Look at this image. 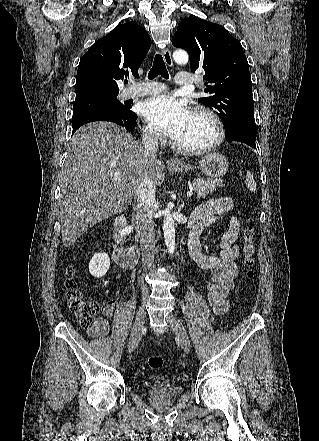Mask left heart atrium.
Returning <instances> with one entry per match:
<instances>
[{
  "label": "left heart atrium",
  "mask_w": 319,
  "mask_h": 441,
  "mask_svg": "<svg viewBox=\"0 0 319 441\" xmlns=\"http://www.w3.org/2000/svg\"><path fill=\"white\" fill-rule=\"evenodd\" d=\"M141 114L154 129L174 140L191 117L185 103L168 94L145 100L141 105Z\"/></svg>",
  "instance_id": "left-heart-atrium-1"
}]
</instances>
